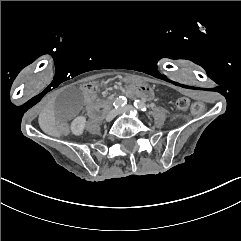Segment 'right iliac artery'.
I'll return each instance as SVG.
<instances>
[{
  "instance_id": "1",
  "label": "right iliac artery",
  "mask_w": 241,
  "mask_h": 241,
  "mask_svg": "<svg viewBox=\"0 0 241 241\" xmlns=\"http://www.w3.org/2000/svg\"><path fill=\"white\" fill-rule=\"evenodd\" d=\"M127 104V99L124 96H119L118 98L115 99L113 106L118 109L122 108Z\"/></svg>"
}]
</instances>
